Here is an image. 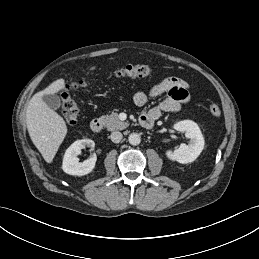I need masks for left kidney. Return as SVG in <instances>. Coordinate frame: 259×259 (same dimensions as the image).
Returning a JSON list of instances; mask_svg holds the SVG:
<instances>
[{
    "instance_id": "left-kidney-1",
    "label": "left kidney",
    "mask_w": 259,
    "mask_h": 259,
    "mask_svg": "<svg viewBox=\"0 0 259 259\" xmlns=\"http://www.w3.org/2000/svg\"><path fill=\"white\" fill-rule=\"evenodd\" d=\"M173 128L177 131L185 132L186 137L190 139V143L189 145L181 144L180 147L174 151L167 150V158L182 164L193 162L204 148V138L199 126L194 121L182 120L176 122Z\"/></svg>"
}]
</instances>
